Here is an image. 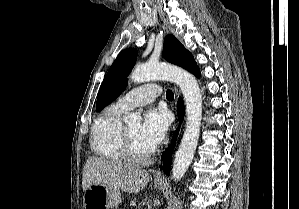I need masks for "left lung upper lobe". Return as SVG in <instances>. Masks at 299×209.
Returning a JSON list of instances; mask_svg holds the SVG:
<instances>
[{"label":"left lung upper lobe","mask_w":299,"mask_h":209,"mask_svg":"<svg viewBox=\"0 0 299 209\" xmlns=\"http://www.w3.org/2000/svg\"><path fill=\"white\" fill-rule=\"evenodd\" d=\"M137 57V50H123L116 58L105 76L98 93L96 111L115 100L126 88L127 75L132 70ZM164 59L192 72L197 64L192 54L173 36L167 35L164 40Z\"/></svg>","instance_id":"1"}]
</instances>
